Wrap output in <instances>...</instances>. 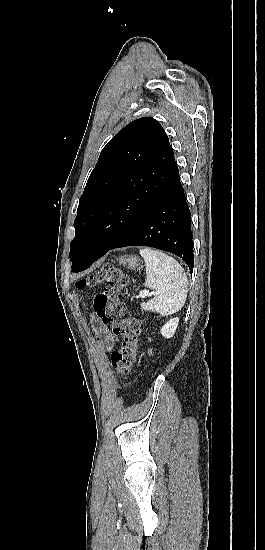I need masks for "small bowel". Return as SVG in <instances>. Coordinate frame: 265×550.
<instances>
[{
    "instance_id": "c3829d8e",
    "label": "small bowel",
    "mask_w": 265,
    "mask_h": 550,
    "mask_svg": "<svg viewBox=\"0 0 265 550\" xmlns=\"http://www.w3.org/2000/svg\"><path fill=\"white\" fill-rule=\"evenodd\" d=\"M93 324L98 332V346L103 355L109 356L114 351L118 341V336L111 333L106 325L99 317L93 318Z\"/></svg>"
}]
</instances>
